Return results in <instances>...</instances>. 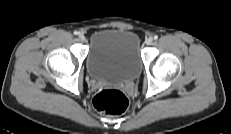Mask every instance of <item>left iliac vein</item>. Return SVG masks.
Masks as SVG:
<instances>
[{
  "instance_id": "4c4485c4",
  "label": "left iliac vein",
  "mask_w": 231,
  "mask_h": 134,
  "mask_svg": "<svg viewBox=\"0 0 231 134\" xmlns=\"http://www.w3.org/2000/svg\"><path fill=\"white\" fill-rule=\"evenodd\" d=\"M152 43H153V38L152 37L147 38L146 44L151 45Z\"/></svg>"
}]
</instances>
